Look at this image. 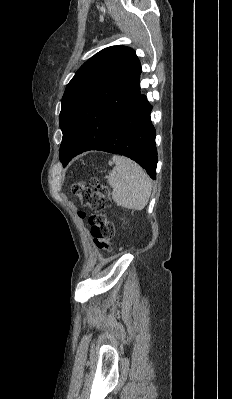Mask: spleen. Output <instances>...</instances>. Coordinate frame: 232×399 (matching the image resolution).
<instances>
[{"label":"spleen","mask_w":232,"mask_h":399,"mask_svg":"<svg viewBox=\"0 0 232 399\" xmlns=\"http://www.w3.org/2000/svg\"><path fill=\"white\" fill-rule=\"evenodd\" d=\"M112 160L115 168L110 176H106L109 186L113 188L112 200L128 209H143L152 192L149 176L136 162L124 156H113Z\"/></svg>","instance_id":"3e777b00"}]
</instances>
